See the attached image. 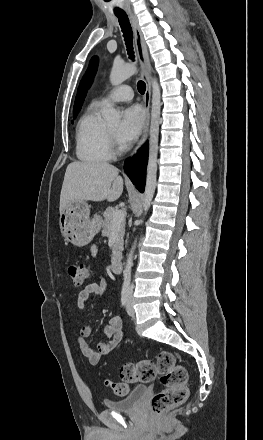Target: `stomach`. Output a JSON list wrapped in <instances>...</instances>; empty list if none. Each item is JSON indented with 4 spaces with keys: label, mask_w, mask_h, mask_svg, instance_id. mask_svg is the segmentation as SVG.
<instances>
[{
    "label": "stomach",
    "mask_w": 263,
    "mask_h": 440,
    "mask_svg": "<svg viewBox=\"0 0 263 440\" xmlns=\"http://www.w3.org/2000/svg\"><path fill=\"white\" fill-rule=\"evenodd\" d=\"M59 224L63 236L79 247L87 245L100 229V221L90 218V206L86 201L67 204L60 214Z\"/></svg>",
    "instance_id": "0dacf381"
}]
</instances>
